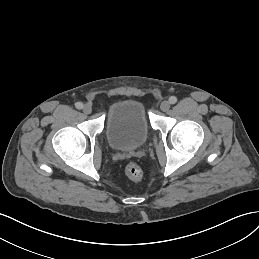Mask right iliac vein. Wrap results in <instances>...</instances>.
<instances>
[{"label":"right iliac vein","mask_w":259,"mask_h":259,"mask_svg":"<svg viewBox=\"0 0 259 259\" xmlns=\"http://www.w3.org/2000/svg\"><path fill=\"white\" fill-rule=\"evenodd\" d=\"M83 112L85 114H90L92 112V107L89 104L84 105Z\"/></svg>","instance_id":"1"}]
</instances>
